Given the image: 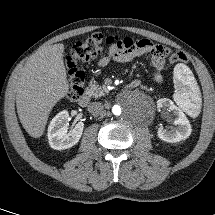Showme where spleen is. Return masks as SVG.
I'll return each instance as SVG.
<instances>
[{
  "label": "spleen",
  "mask_w": 215,
  "mask_h": 215,
  "mask_svg": "<svg viewBox=\"0 0 215 215\" xmlns=\"http://www.w3.org/2000/svg\"><path fill=\"white\" fill-rule=\"evenodd\" d=\"M174 100L184 111L192 114L200 107V90L189 69L178 64L174 69Z\"/></svg>",
  "instance_id": "3e777b00"
}]
</instances>
